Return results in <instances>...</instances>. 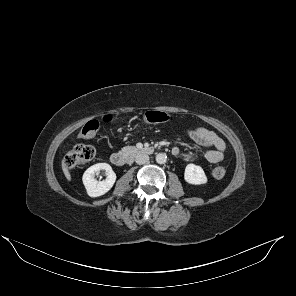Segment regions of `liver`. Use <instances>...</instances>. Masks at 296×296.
<instances>
[{
	"mask_svg": "<svg viewBox=\"0 0 296 296\" xmlns=\"http://www.w3.org/2000/svg\"><path fill=\"white\" fill-rule=\"evenodd\" d=\"M62 170H63V173H64L66 179L68 181H71V174H70L68 168L66 167V164H65V160L64 159L62 160Z\"/></svg>",
	"mask_w": 296,
	"mask_h": 296,
	"instance_id": "obj_1",
	"label": "liver"
}]
</instances>
